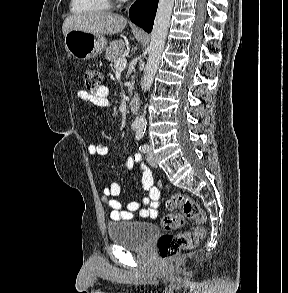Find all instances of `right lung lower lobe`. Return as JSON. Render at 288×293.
<instances>
[{
	"instance_id": "98d812e1",
	"label": "right lung lower lobe",
	"mask_w": 288,
	"mask_h": 293,
	"mask_svg": "<svg viewBox=\"0 0 288 293\" xmlns=\"http://www.w3.org/2000/svg\"><path fill=\"white\" fill-rule=\"evenodd\" d=\"M158 0H137L130 8V19L146 32H151Z\"/></svg>"
}]
</instances>
